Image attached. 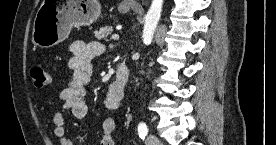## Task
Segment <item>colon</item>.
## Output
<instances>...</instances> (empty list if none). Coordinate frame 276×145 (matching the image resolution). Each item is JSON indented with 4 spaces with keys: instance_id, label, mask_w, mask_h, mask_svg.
Segmentation results:
<instances>
[{
    "instance_id": "colon-1",
    "label": "colon",
    "mask_w": 276,
    "mask_h": 145,
    "mask_svg": "<svg viewBox=\"0 0 276 145\" xmlns=\"http://www.w3.org/2000/svg\"><path fill=\"white\" fill-rule=\"evenodd\" d=\"M33 85L37 89H43L50 84V74L42 66L36 65L31 68L30 71Z\"/></svg>"
}]
</instances>
